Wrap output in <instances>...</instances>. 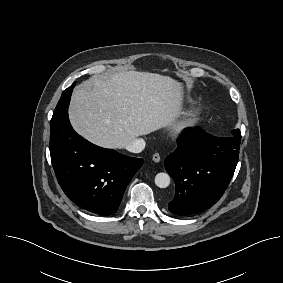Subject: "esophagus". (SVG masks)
Wrapping results in <instances>:
<instances>
[{"label": "esophagus", "instance_id": "1", "mask_svg": "<svg viewBox=\"0 0 283 283\" xmlns=\"http://www.w3.org/2000/svg\"><path fill=\"white\" fill-rule=\"evenodd\" d=\"M152 160L157 163V162H159L161 160V157H160V155L158 153H155L152 156Z\"/></svg>", "mask_w": 283, "mask_h": 283}]
</instances>
